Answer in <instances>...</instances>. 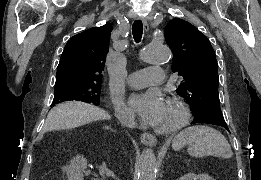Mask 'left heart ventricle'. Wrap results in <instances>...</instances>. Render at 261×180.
I'll return each mask as SVG.
<instances>
[{"mask_svg":"<svg viewBox=\"0 0 261 180\" xmlns=\"http://www.w3.org/2000/svg\"><path fill=\"white\" fill-rule=\"evenodd\" d=\"M176 116V106L166 99L161 110L158 112L157 116L151 124L158 128H166L173 123Z\"/></svg>","mask_w":261,"mask_h":180,"instance_id":"obj_1","label":"left heart ventricle"}]
</instances>
